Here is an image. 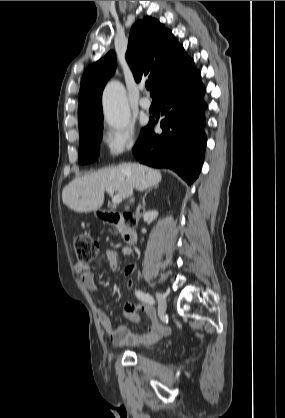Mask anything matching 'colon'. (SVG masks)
Instances as JSON below:
<instances>
[{
  "instance_id": "obj_1",
  "label": "colon",
  "mask_w": 285,
  "mask_h": 418,
  "mask_svg": "<svg viewBox=\"0 0 285 418\" xmlns=\"http://www.w3.org/2000/svg\"><path fill=\"white\" fill-rule=\"evenodd\" d=\"M138 219L131 214H127L122 218L123 227H131L136 225ZM74 248L77 259L80 262L90 261L97 253L98 247L92 236L89 234H79L74 238Z\"/></svg>"
}]
</instances>
